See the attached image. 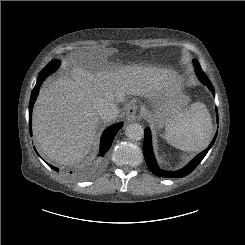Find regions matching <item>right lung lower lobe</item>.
Returning <instances> with one entry per match:
<instances>
[{"instance_id": "1", "label": "right lung lower lobe", "mask_w": 245, "mask_h": 245, "mask_svg": "<svg viewBox=\"0 0 245 245\" xmlns=\"http://www.w3.org/2000/svg\"><path fill=\"white\" fill-rule=\"evenodd\" d=\"M47 77L46 74H40L37 78V83L31 93V100L29 103V128H30V135L32 136V109H33V105L34 102L38 96V89L40 88L43 80ZM123 123H117L114 124L110 127H108L102 134L101 137V142H100V150H99V154H98V158L95 160V162H93L92 164H90L89 166H87L85 169H83L81 172L77 173L78 176L81 177H85L87 175H89L90 173H92L93 171H95V169H97L104 161V157L107 153V151L110 149L111 144L113 142V139L115 137V135L117 134V132L122 128ZM53 170L55 171H59L58 168L48 164Z\"/></svg>"}]
</instances>
